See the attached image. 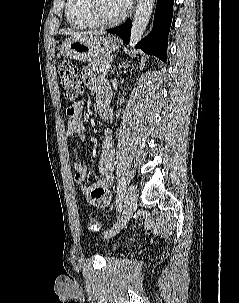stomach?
<instances>
[{"label":"stomach","mask_w":239,"mask_h":303,"mask_svg":"<svg viewBox=\"0 0 239 303\" xmlns=\"http://www.w3.org/2000/svg\"><path fill=\"white\" fill-rule=\"evenodd\" d=\"M117 48V41L113 36L69 38L61 47L65 57L79 61L107 57Z\"/></svg>","instance_id":"0dacf381"}]
</instances>
